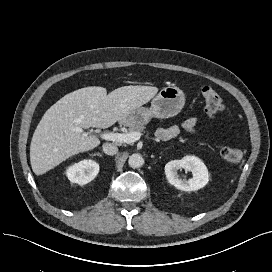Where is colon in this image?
I'll return each mask as SVG.
<instances>
[{
  "mask_svg": "<svg viewBox=\"0 0 272 272\" xmlns=\"http://www.w3.org/2000/svg\"><path fill=\"white\" fill-rule=\"evenodd\" d=\"M204 101V110L207 116L214 117L224 110V103L212 87L206 86L201 91ZM221 157L230 163H239L243 159V153L239 149H235L229 146H222L219 150Z\"/></svg>",
  "mask_w": 272,
  "mask_h": 272,
  "instance_id": "1",
  "label": "colon"
}]
</instances>
